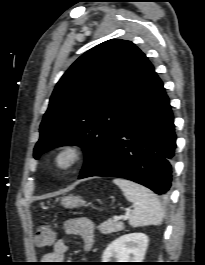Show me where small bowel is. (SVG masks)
<instances>
[{"label":"small bowel","instance_id":"obj_1","mask_svg":"<svg viewBox=\"0 0 205 265\" xmlns=\"http://www.w3.org/2000/svg\"><path fill=\"white\" fill-rule=\"evenodd\" d=\"M64 232L67 236H79L84 243V250L90 251L94 244L93 223L84 217L67 220L64 223ZM68 246L65 240L59 239L55 242L53 250L44 255L45 263L54 264L64 260Z\"/></svg>","mask_w":205,"mask_h":265}]
</instances>
